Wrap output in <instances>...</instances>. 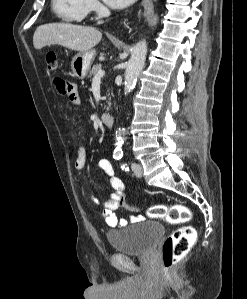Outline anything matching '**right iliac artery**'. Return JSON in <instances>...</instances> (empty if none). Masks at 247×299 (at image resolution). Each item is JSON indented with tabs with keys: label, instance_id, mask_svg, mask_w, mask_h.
I'll use <instances>...</instances> for the list:
<instances>
[{
	"label": "right iliac artery",
	"instance_id": "82829eb1",
	"mask_svg": "<svg viewBox=\"0 0 247 299\" xmlns=\"http://www.w3.org/2000/svg\"><path fill=\"white\" fill-rule=\"evenodd\" d=\"M113 157L115 158V159H121V157H122V154H115V155H113Z\"/></svg>",
	"mask_w": 247,
	"mask_h": 299
}]
</instances>
